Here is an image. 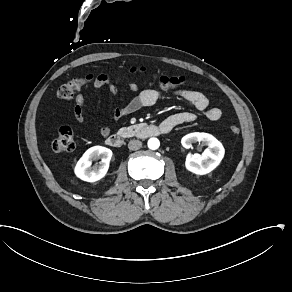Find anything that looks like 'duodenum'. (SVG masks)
I'll list each match as a JSON object with an SVG mask.
<instances>
[{"mask_svg": "<svg viewBox=\"0 0 292 292\" xmlns=\"http://www.w3.org/2000/svg\"><path fill=\"white\" fill-rule=\"evenodd\" d=\"M172 130L171 126L164 124L159 127L156 126H145L142 127L137 133V137L140 139H145L148 137L167 134ZM106 142L109 146L113 148H120L123 144L122 138L118 134H111L106 137Z\"/></svg>", "mask_w": 292, "mask_h": 292, "instance_id": "obj_1", "label": "duodenum"}]
</instances>
